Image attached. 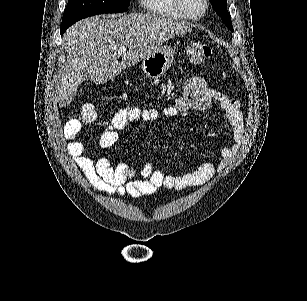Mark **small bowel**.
Returning a JSON list of instances; mask_svg holds the SVG:
<instances>
[{"label": "small bowel", "mask_w": 307, "mask_h": 301, "mask_svg": "<svg viewBox=\"0 0 307 301\" xmlns=\"http://www.w3.org/2000/svg\"><path fill=\"white\" fill-rule=\"evenodd\" d=\"M213 102L218 103L232 127L231 142L221 149L218 162L203 163L193 172L173 175L148 165L141 172L142 178L136 179V171L125 163L113 166L106 158L94 160L88 156L86 146L79 138L82 124L77 119L69 120L64 126L68 152L84 172L91 187L107 195L127 194L139 198L154 194L160 187L182 190L203 185L225 169L239 149L244 133V113L240 101L210 88L201 77H191L184 84L183 95L164 109L166 116L184 117L190 110H203ZM158 116L159 112L153 108H121L110 121L104 123L99 146L105 151L112 149L118 141L119 132L129 123L149 122Z\"/></svg>", "instance_id": "obj_1"}]
</instances>
